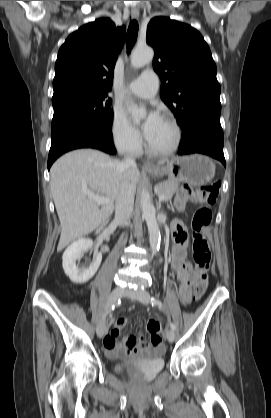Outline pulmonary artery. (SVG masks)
Returning a JSON list of instances; mask_svg holds the SVG:
<instances>
[{
	"label": "pulmonary artery",
	"instance_id": "pulmonary-artery-1",
	"mask_svg": "<svg viewBox=\"0 0 271 418\" xmlns=\"http://www.w3.org/2000/svg\"><path fill=\"white\" fill-rule=\"evenodd\" d=\"M158 83L157 74L153 70H145L129 84L128 89L136 96L151 98L158 90Z\"/></svg>",
	"mask_w": 271,
	"mask_h": 418
}]
</instances>
